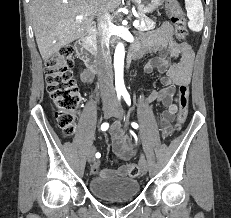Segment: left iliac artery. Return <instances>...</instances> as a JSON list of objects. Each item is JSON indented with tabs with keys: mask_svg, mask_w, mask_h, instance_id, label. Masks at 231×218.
Here are the masks:
<instances>
[{
	"mask_svg": "<svg viewBox=\"0 0 231 218\" xmlns=\"http://www.w3.org/2000/svg\"><path fill=\"white\" fill-rule=\"evenodd\" d=\"M122 96H123L124 100L126 101V103L130 106L131 100H130L129 93L126 90H124V91H122ZM132 127L133 128H138L139 126H138L137 123L133 122Z\"/></svg>",
	"mask_w": 231,
	"mask_h": 218,
	"instance_id": "obj_1",
	"label": "left iliac artery"
}]
</instances>
